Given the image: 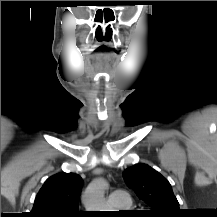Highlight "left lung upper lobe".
Returning <instances> with one entry per match:
<instances>
[{
  "mask_svg": "<svg viewBox=\"0 0 217 217\" xmlns=\"http://www.w3.org/2000/svg\"><path fill=\"white\" fill-rule=\"evenodd\" d=\"M124 181L147 203L151 217H179V203L168 180L146 164H138L123 172Z\"/></svg>",
  "mask_w": 217,
  "mask_h": 217,
  "instance_id": "left-lung-upper-lobe-1",
  "label": "left lung upper lobe"
}]
</instances>
